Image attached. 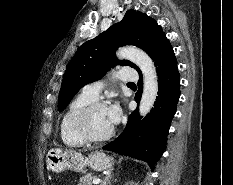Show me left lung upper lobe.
Masks as SVG:
<instances>
[{
    "label": "left lung upper lobe",
    "mask_w": 233,
    "mask_h": 185,
    "mask_svg": "<svg viewBox=\"0 0 233 185\" xmlns=\"http://www.w3.org/2000/svg\"><path fill=\"white\" fill-rule=\"evenodd\" d=\"M165 37L154 19L135 10L127 11L121 22L82 44L75 53L62 81L58 110H64L80 88L100 79L115 64L128 65L140 71L130 61L116 60L115 51L118 47L135 45L152 57Z\"/></svg>",
    "instance_id": "obj_1"
}]
</instances>
